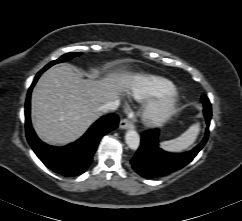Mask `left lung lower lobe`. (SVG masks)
I'll list each match as a JSON object with an SVG mask.
<instances>
[{
	"label": "left lung lower lobe",
	"instance_id": "obj_1",
	"mask_svg": "<svg viewBox=\"0 0 242 221\" xmlns=\"http://www.w3.org/2000/svg\"><path fill=\"white\" fill-rule=\"evenodd\" d=\"M204 116L206 118L205 137L195 148L184 153H169L158 145L159 130H149L142 134L141 145L131 160L133 169L142 177L156 178L177 171L191 162L205 145L209 135V125L212 116L211 104L203 95Z\"/></svg>",
	"mask_w": 242,
	"mask_h": 221
}]
</instances>
